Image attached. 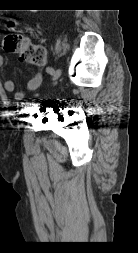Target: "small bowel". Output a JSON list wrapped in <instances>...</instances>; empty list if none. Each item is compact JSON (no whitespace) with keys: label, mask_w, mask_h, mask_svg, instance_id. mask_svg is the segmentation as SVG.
Segmentation results:
<instances>
[{"label":"small bowel","mask_w":138,"mask_h":253,"mask_svg":"<svg viewBox=\"0 0 138 253\" xmlns=\"http://www.w3.org/2000/svg\"><path fill=\"white\" fill-rule=\"evenodd\" d=\"M2 65H3V57L0 55V67H2ZM47 72L50 73L51 70L48 68ZM42 81H43V74L42 73L36 74L27 82V86H26L27 90L30 93L35 92L40 87ZM4 89L7 92L13 93L14 99L17 101H21L25 98V95H26L25 92L23 90H16L15 84L12 80L5 81Z\"/></svg>","instance_id":"small-bowel-1"}]
</instances>
